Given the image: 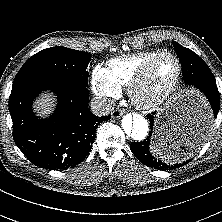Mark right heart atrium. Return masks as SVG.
<instances>
[{
    "label": "right heart atrium",
    "mask_w": 222,
    "mask_h": 222,
    "mask_svg": "<svg viewBox=\"0 0 222 222\" xmlns=\"http://www.w3.org/2000/svg\"><path fill=\"white\" fill-rule=\"evenodd\" d=\"M92 90L106 104H109L121 93V89L109 79L106 69L100 66L95 67L93 70Z\"/></svg>",
    "instance_id": "obj_1"
}]
</instances>
